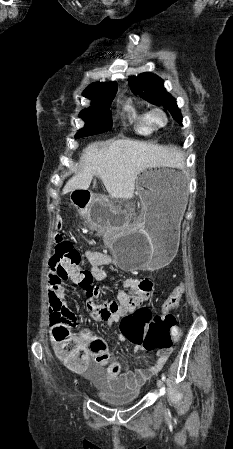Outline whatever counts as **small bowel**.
I'll return each instance as SVG.
<instances>
[{
	"label": "small bowel",
	"instance_id": "c3829d8e",
	"mask_svg": "<svg viewBox=\"0 0 233 449\" xmlns=\"http://www.w3.org/2000/svg\"><path fill=\"white\" fill-rule=\"evenodd\" d=\"M84 257L89 263L88 277L90 281H118L105 270V266L112 262V258L109 254L88 249L85 250ZM67 278L81 281L83 276L78 275V269L76 268H69L64 271V273H61L56 265L50 268L47 277V295L52 312L58 309H63L67 305L68 293L63 287V282ZM121 283L123 289L118 293L117 301L100 299L96 303L90 302L87 304L86 307L90 310V317L94 321H106L109 325L113 322L122 321L130 314H133V312H137V307L145 303L149 299V296H151L152 291L155 289V284L152 278H148L147 274H124L122 276ZM101 292L102 288L100 286L95 287L91 293L92 298H100L102 295ZM117 340L127 341L126 338H120V335ZM71 341L75 344L74 346L76 352L80 354L82 359L85 361V366L83 368L97 373L108 362V356L104 360H98L95 354H83V344L75 334L71 335ZM53 343L57 351L59 344L55 342L54 339ZM132 344L134 345L136 351H144V349L138 348V343ZM168 355V352L159 351L157 353V361L155 364L147 368H138L135 371H128L123 374L119 373L118 364H112L106 372L108 382L113 387L118 389L142 386L163 368L168 359Z\"/></svg>",
	"mask_w": 233,
	"mask_h": 449
}]
</instances>
